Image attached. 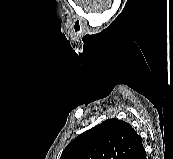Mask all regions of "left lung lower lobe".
Listing matches in <instances>:
<instances>
[{
  "label": "left lung lower lobe",
  "instance_id": "obj_1",
  "mask_svg": "<svg viewBox=\"0 0 173 159\" xmlns=\"http://www.w3.org/2000/svg\"><path fill=\"white\" fill-rule=\"evenodd\" d=\"M133 159H146V152L143 146L137 152V154L133 157Z\"/></svg>",
  "mask_w": 173,
  "mask_h": 159
}]
</instances>
